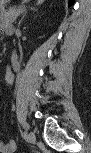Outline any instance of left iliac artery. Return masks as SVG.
<instances>
[{
    "label": "left iliac artery",
    "instance_id": "44dca946",
    "mask_svg": "<svg viewBox=\"0 0 91 153\" xmlns=\"http://www.w3.org/2000/svg\"><path fill=\"white\" fill-rule=\"evenodd\" d=\"M21 135H23L24 143H29V136H28L27 126L23 125V132H21Z\"/></svg>",
    "mask_w": 91,
    "mask_h": 153
}]
</instances>
